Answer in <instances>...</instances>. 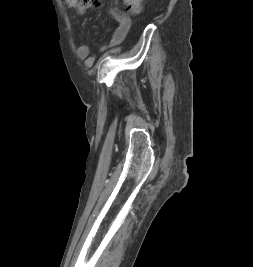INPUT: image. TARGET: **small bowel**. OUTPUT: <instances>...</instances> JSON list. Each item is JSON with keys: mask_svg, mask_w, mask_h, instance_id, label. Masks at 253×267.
<instances>
[{"mask_svg": "<svg viewBox=\"0 0 253 267\" xmlns=\"http://www.w3.org/2000/svg\"><path fill=\"white\" fill-rule=\"evenodd\" d=\"M111 14L118 22V26L110 39L100 48L101 51L120 45L125 40L131 28L132 23L128 15L117 9L111 10ZM76 52L78 57L85 60L87 63H92L95 60V56L90 55V49L86 44L78 45Z\"/></svg>", "mask_w": 253, "mask_h": 267, "instance_id": "1", "label": "small bowel"}]
</instances>
